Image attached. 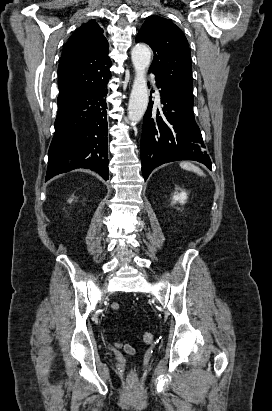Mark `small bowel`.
Listing matches in <instances>:
<instances>
[{
  "label": "small bowel",
  "mask_w": 272,
  "mask_h": 411,
  "mask_svg": "<svg viewBox=\"0 0 272 411\" xmlns=\"http://www.w3.org/2000/svg\"><path fill=\"white\" fill-rule=\"evenodd\" d=\"M111 309L112 310H118L119 309V305L117 303H113L111 305ZM119 349H123L125 352L127 353H132L134 351L133 347L130 344L127 343H119L116 342L112 345V350L113 351H117Z\"/></svg>",
  "instance_id": "1"
}]
</instances>
